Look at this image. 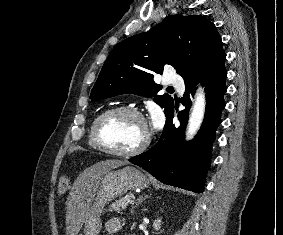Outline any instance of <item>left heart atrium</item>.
Listing matches in <instances>:
<instances>
[{"instance_id":"left-heart-atrium-1","label":"left heart atrium","mask_w":283,"mask_h":235,"mask_svg":"<svg viewBox=\"0 0 283 235\" xmlns=\"http://www.w3.org/2000/svg\"><path fill=\"white\" fill-rule=\"evenodd\" d=\"M153 124H154L155 127H158L159 126V121L155 120Z\"/></svg>"}]
</instances>
